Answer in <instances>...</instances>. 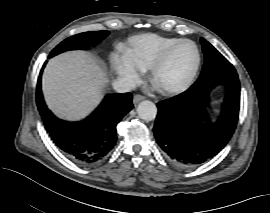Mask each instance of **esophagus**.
I'll use <instances>...</instances> for the list:
<instances>
[{"instance_id":"esophagus-1","label":"esophagus","mask_w":270,"mask_h":213,"mask_svg":"<svg viewBox=\"0 0 270 213\" xmlns=\"http://www.w3.org/2000/svg\"><path fill=\"white\" fill-rule=\"evenodd\" d=\"M144 99H145V97L142 96V95H139V94L134 95V97H133V103L136 105L137 103H139L140 101H142Z\"/></svg>"}]
</instances>
